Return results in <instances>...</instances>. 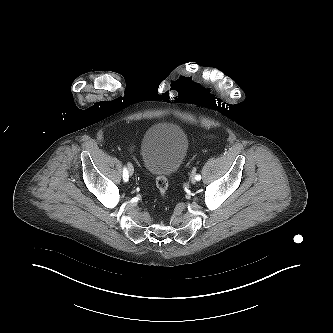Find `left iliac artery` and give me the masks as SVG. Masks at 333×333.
I'll return each mask as SVG.
<instances>
[{
	"instance_id": "obj_1",
	"label": "left iliac artery",
	"mask_w": 333,
	"mask_h": 333,
	"mask_svg": "<svg viewBox=\"0 0 333 333\" xmlns=\"http://www.w3.org/2000/svg\"><path fill=\"white\" fill-rule=\"evenodd\" d=\"M195 178H196L197 181H199V180H201V175L197 174V175H195Z\"/></svg>"
}]
</instances>
